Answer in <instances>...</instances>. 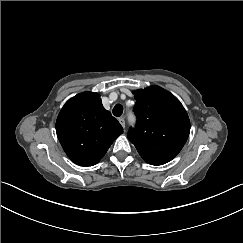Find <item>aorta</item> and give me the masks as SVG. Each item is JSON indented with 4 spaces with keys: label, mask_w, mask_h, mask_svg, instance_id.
<instances>
[{
    "label": "aorta",
    "mask_w": 243,
    "mask_h": 243,
    "mask_svg": "<svg viewBox=\"0 0 243 243\" xmlns=\"http://www.w3.org/2000/svg\"><path fill=\"white\" fill-rule=\"evenodd\" d=\"M131 121H132V122L134 121V118H133V117L131 118Z\"/></svg>",
    "instance_id": "1"
}]
</instances>
